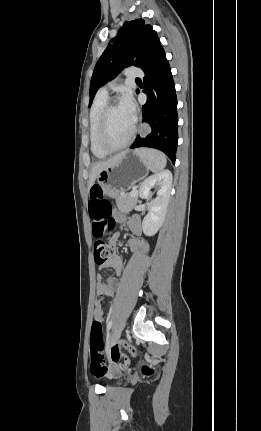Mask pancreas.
<instances>
[{"instance_id":"cf45deb5","label":"pancreas","mask_w":261,"mask_h":431,"mask_svg":"<svg viewBox=\"0 0 261 431\" xmlns=\"http://www.w3.org/2000/svg\"><path fill=\"white\" fill-rule=\"evenodd\" d=\"M116 205L120 211H131L138 201V196H130V193L118 194L116 197Z\"/></svg>"}]
</instances>
